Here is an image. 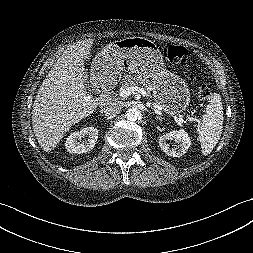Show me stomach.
Wrapping results in <instances>:
<instances>
[{"label": "stomach", "mask_w": 253, "mask_h": 253, "mask_svg": "<svg viewBox=\"0 0 253 253\" xmlns=\"http://www.w3.org/2000/svg\"><path fill=\"white\" fill-rule=\"evenodd\" d=\"M122 71L143 74L153 79V95L168 116H178L190 102L185 81L164 66L157 45L143 37H128L109 44L96 56L92 65L93 77L118 76Z\"/></svg>", "instance_id": "1"}]
</instances>
